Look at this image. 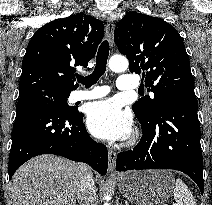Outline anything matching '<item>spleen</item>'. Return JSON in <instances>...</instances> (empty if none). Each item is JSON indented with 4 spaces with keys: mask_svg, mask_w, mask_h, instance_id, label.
Listing matches in <instances>:
<instances>
[{
    "mask_svg": "<svg viewBox=\"0 0 212 205\" xmlns=\"http://www.w3.org/2000/svg\"><path fill=\"white\" fill-rule=\"evenodd\" d=\"M174 205H196V200L187 185L180 179H176L174 187Z\"/></svg>",
    "mask_w": 212,
    "mask_h": 205,
    "instance_id": "3e777b00",
    "label": "spleen"
}]
</instances>
